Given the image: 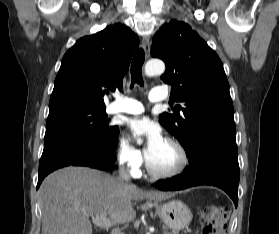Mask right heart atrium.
Listing matches in <instances>:
<instances>
[{
    "label": "right heart atrium",
    "instance_id": "right-heart-atrium-1",
    "mask_svg": "<svg viewBox=\"0 0 279 234\" xmlns=\"http://www.w3.org/2000/svg\"><path fill=\"white\" fill-rule=\"evenodd\" d=\"M116 157L118 163L131 174L139 171L144 161L142 152L125 137H120L117 142Z\"/></svg>",
    "mask_w": 279,
    "mask_h": 234
}]
</instances>
